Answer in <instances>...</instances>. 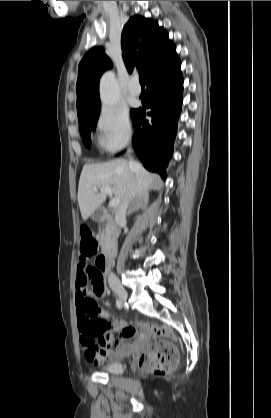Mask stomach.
I'll return each instance as SVG.
<instances>
[{
    "instance_id": "obj_1",
    "label": "stomach",
    "mask_w": 271,
    "mask_h": 418,
    "mask_svg": "<svg viewBox=\"0 0 271 418\" xmlns=\"http://www.w3.org/2000/svg\"><path fill=\"white\" fill-rule=\"evenodd\" d=\"M91 219L94 220V221H100L101 220V216L97 212H94L91 215Z\"/></svg>"
}]
</instances>
